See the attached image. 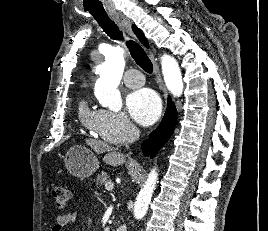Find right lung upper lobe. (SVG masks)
Listing matches in <instances>:
<instances>
[{
    "mask_svg": "<svg viewBox=\"0 0 268 231\" xmlns=\"http://www.w3.org/2000/svg\"><path fill=\"white\" fill-rule=\"evenodd\" d=\"M132 29L134 31V33L136 34V36L139 38V40L146 46L149 47L148 45V41L146 39V37L144 36L143 32L136 27L135 25H132Z\"/></svg>",
    "mask_w": 268,
    "mask_h": 231,
    "instance_id": "obj_1",
    "label": "right lung upper lobe"
}]
</instances>
